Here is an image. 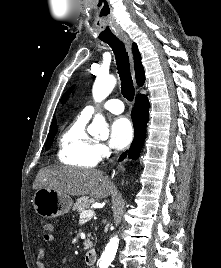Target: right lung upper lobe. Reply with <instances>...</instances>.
Segmentation results:
<instances>
[{
    "instance_id": "obj_1",
    "label": "right lung upper lobe",
    "mask_w": 221,
    "mask_h": 268,
    "mask_svg": "<svg viewBox=\"0 0 221 268\" xmlns=\"http://www.w3.org/2000/svg\"><path fill=\"white\" fill-rule=\"evenodd\" d=\"M132 51L134 54V63H135V76L138 86H142L145 82V74H144V68L141 63V55L138 51V47L135 43L132 45ZM57 127L56 119L54 118L51 123V128Z\"/></svg>"
}]
</instances>
